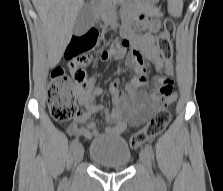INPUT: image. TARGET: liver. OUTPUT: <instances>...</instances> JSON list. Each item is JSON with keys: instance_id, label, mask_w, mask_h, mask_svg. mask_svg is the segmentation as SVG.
<instances>
[{"instance_id": "6515ba94", "label": "liver", "mask_w": 223, "mask_h": 191, "mask_svg": "<svg viewBox=\"0 0 223 191\" xmlns=\"http://www.w3.org/2000/svg\"><path fill=\"white\" fill-rule=\"evenodd\" d=\"M42 21L48 51V64L56 66L69 44L77 15L84 0H32Z\"/></svg>"}]
</instances>
